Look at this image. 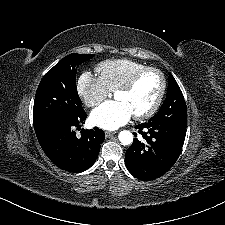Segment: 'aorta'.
<instances>
[{
    "mask_svg": "<svg viewBox=\"0 0 225 225\" xmlns=\"http://www.w3.org/2000/svg\"><path fill=\"white\" fill-rule=\"evenodd\" d=\"M118 138L121 144L125 146L130 145L133 142V135L128 130L121 131L118 135Z\"/></svg>",
    "mask_w": 225,
    "mask_h": 225,
    "instance_id": "obj_1",
    "label": "aorta"
}]
</instances>
